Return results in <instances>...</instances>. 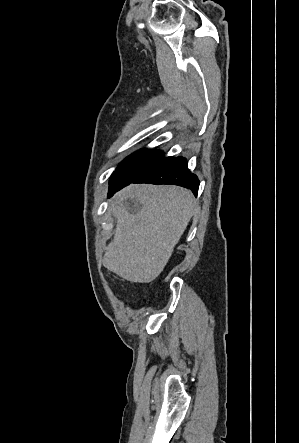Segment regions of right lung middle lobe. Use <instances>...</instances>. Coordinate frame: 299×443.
Masks as SVG:
<instances>
[{
  "instance_id": "right-lung-middle-lobe-1",
  "label": "right lung middle lobe",
  "mask_w": 299,
  "mask_h": 443,
  "mask_svg": "<svg viewBox=\"0 0 299 443\" xmlns=\"http://www.w3.org/2000/svg\"><path fill=\"white\" fill-rule=\"evenodd\" d=\"M163 157L161 151L148 149H143L132 154L127 157L112 174L110 186H117L135 180L155 166Z\"/></svg>"
}]
</instances>
